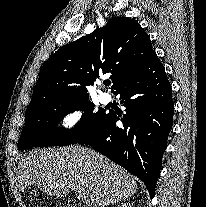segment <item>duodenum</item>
I'll return each instance as SVG.
<instances>
[{
    "label": "duodenum",
    "mask_w": 206,
    "mask_h": 207,
    "mask_svg": "<svg viewBox=\"0 0 206 207\" xmlns=\"http://www.w3.org/2000/svg\"><path fill=\"white\" fill-rule=\"evenodd\" d=\"M65 207H80L75 201H68Z\"/></svg>",
    "instance_id": "duodenum-1"
}]
</instances>
